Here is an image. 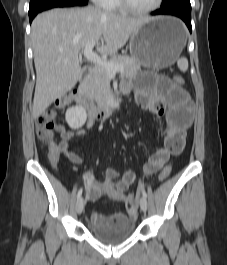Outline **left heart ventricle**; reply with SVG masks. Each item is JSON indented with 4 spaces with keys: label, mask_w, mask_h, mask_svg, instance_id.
I'll list each match as a JSON object with an SVG mask.
<instances>
[{
    "label": "left heart ventricle",
    "mask_w": 227,
    "mask_h": 265,
    "mask_svg": "<svg viewBox=\"0 0 227 265\" xmlns=\"http://www.w3.org/2000/svg\"><path fill=\"white\" fill-rule=\"evenodd\" d=\"M157 0H130L131 4L138 9L152 7Z\"/></svg>",
    "instance_id": "b2bd125f"
}]
</instances>
